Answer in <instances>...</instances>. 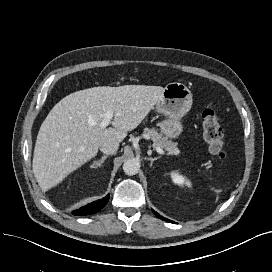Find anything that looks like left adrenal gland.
Masks as SVG:
<instances>
[{
    "label": "left adrenal gland",
    "instance_id": "left-adrenal-gland-1",
    "mask_svg": "<svg viewBox=\"0 0 272 272\" xmlns=\"http://www.w3.org/2000/svg\"><path fill=\"white\" fill-rule=\"evenodd\" d=\"M159 158H160V156L155 157V158L148 157L147 160L151 161L150 166H152L153 162L156 161V160H158Z\"/></svg>",
    "mask_w": 272,
    "mask_h": 272
}]
</instances>
